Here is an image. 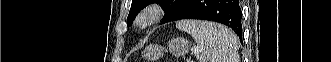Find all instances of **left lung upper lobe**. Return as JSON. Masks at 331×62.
<instances>
[{"label":"left lung upper lobe","instance_id":"5c2ea615","mask_svg":"<svg viewBox=\"0 0 331 62\" xmlns=\"http://www.w3.org/2000/svg\"><path fill=\"white\" fill-rule=\"evenodd\" d=\"M159 3L165 10L166 15L164 16L162 23H166L169 19L179 10L185 0H132L131 9L127 17V24L131 25L136 15L150 3Z\"/></svg>","mask_w":331,"mask_h":62}]
</instances>
